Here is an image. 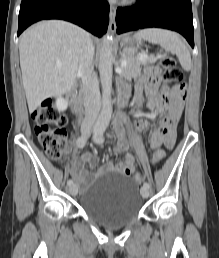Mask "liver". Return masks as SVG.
I'll use <instances>...</instances> for the list:
<instances>
[{
  "label": "liver",
  "instance_id": "liver-1",
  "mask_svg": "<svg viewBox=\"0 0 219 258\" xmlns=\"http://www.w3.org/2000/svg\"><path fill=\"white\" fill-rule=\"evenodd\" d=\"M87 35L82 28L60 20L39 22L21 35L20 67L30 111L46 98L70 91Z\"/></svg>",
  "mask_w": 219,
  "mask_h": 258
}]
</instances>
